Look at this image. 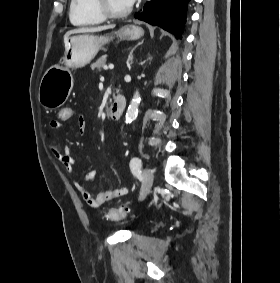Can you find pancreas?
Listing matches in <instances>:
<instances>
[{"label":"pancreas","instance_id":"1","mask_svg":"<svg viewBox=\"0 0 280 283\" xmlns=\"http://www.w3.org/2000/svg\"><path fill=\"white\" fill-rule=\"evenodd\" d=\"M105 63H106V56H102L98 58L94 63H92L91 69L92 70L96 69L98 71H101L102 69H104Z\"/></svg>","mask_w":280,"mask_h":283}]
</instances>
